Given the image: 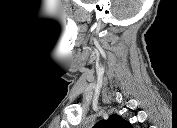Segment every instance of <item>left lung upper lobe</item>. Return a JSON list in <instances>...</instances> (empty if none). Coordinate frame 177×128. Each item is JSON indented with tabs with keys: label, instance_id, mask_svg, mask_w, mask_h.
<instances>
[{
	"label": "left lung upper lobe",
	"instance_id": "obj_1",
	"mask_svg": "<svg viewBox=\"0 0 177 128\" xmlns=\"http://www.w3.org/2000/svg\"><path fill=\"white\" fill-rule=\"evenodd\" d=\"M96 128H131L126 120L118 115H111L108 120H102L95 125Z\"/></svg>",
	"mask_w": 177,
	"mask_h": 128
}]
</instances>
